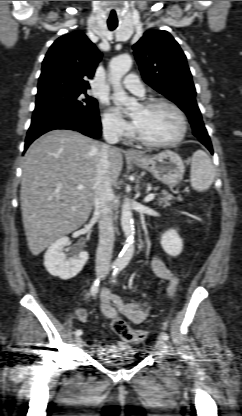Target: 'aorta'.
I'll use <instances>...</instances> for the list:
<instances>
[{
    "label": "aorta",
    "mask_w": 242,
    "mask_h": 416,
    "mask_svg": "<svg viewBox=\"0 0 242 416\" xmlns=\"http://www.w3.org/2000/svg\"><path fill=\"white\" fill-rule=\"evenodd\" d=\"M132 59L128 54H123L113 58L110 62V81L113 85V95L115 100L122 103L128 109H132L135 101L128 97L121 86L122 77L130 70ZM121 226L126 238L125 245L115 260L117 266H126L134 254V222L132 211L128 199H125L121 211Z\"/></svg>",
    "instance_id": "1"
}]
</instances>
